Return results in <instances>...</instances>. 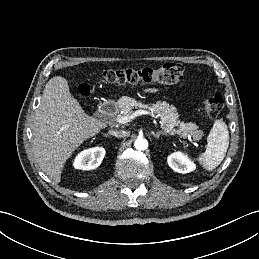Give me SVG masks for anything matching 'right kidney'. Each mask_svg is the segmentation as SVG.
Returning a JSON list of instances; mask_svg holds the SVG:
<instances>
[{
    "instance_id": "ca27d5eb",
    "label": "right kidney",
    "mask_w": 259,
    "mask_h": 259,
    "mask_svg": "<svg viewBox=\"0 0 259 259\" xmlns=\"http://www.w3.org/2000/svg\"><path fill=\"white\" fill-rule=\"evenodd\" d=\"M105 156V149L94 147L80 152L75 160L74 167L81 170H93L97 168Z\"/></svg>"
}]
</instances>
